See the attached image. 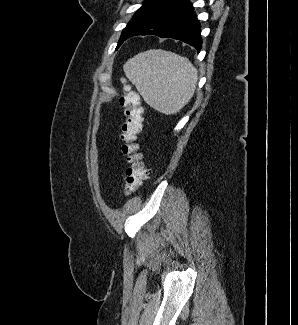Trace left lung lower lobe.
I'll list each match as a JSON object with an SVG mask.
<instances>
[{
    "label": "left lung lower lobe",
    "instance_id": "left-lung-lower-lobe-1",
    "mask_svg": "<svg viewBox=\"0 0 298 325\" xmlns=\"http://www.w3.org/2000/svg\"><path fill=\"white\" fill-rule=\"evenodd\" d=\"M200 32L189 0H161L131 29L125 40L136 35H157L182 40L199 52L202 47Z\"/></svg>",
    "mask_w": 298,
    "mask_h": 325
}]
</instances>
